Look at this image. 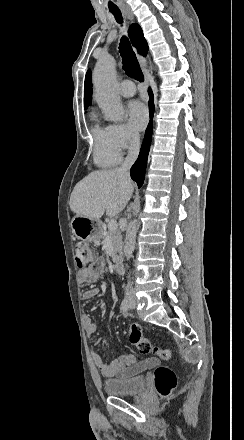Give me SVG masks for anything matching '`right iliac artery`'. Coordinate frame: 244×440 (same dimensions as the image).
Returning <instances> with one entry per match:
<instances>
[{"label":"right iliac artery","instance_id":"right-iliac-artery-1","mask_svg":"<svg viewBox=\"0 0 244 440\" xmlns=\"http://www.w3.org/2000/svg\"><path fill=\"white\" fill-rule=\"evenodd\" d=\"M121 308L123 309V311H128V310H129L130 305H129V300H128L127 297H125V298L123 299V301H122V303H121Z\"/></svg>","mask_w":244,"mask_h":440}]
</instances>
